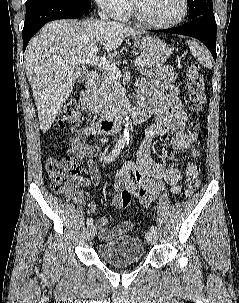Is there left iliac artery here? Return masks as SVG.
I'll list each match as a JSON object with an SVG mask.
<instances>
[{
  "label": "left iliac artery",
  "instance_id": "1",
  "mask_svg": "<svg viewBox=\"0 0 239 303\" xmlns=\"http://www.w3.org/2000/svg\"><path fill=\"white\" fill-rule=\"evenodd\" d=\"M150 230L156 232L157 231V227L155 225H152L151 228H150Z\"/></svg>",
  "mask_w": 239,
  "mask_h": 303
}]
</instances>
